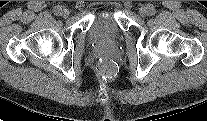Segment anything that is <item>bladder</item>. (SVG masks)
I'll return each instance as SVG.
<instances>
[{
    "label": "bladder",
    "mask_w": 207,
    "mask_h": 121,
    "mask_svg": "<svg viewBox=\"0 0 207 121\" xmlns=\"http://www.w3.org/2000/svg\"><path fill=\"white\" fill-rule=\"evenodd\" d=\"M94 41L112 42L121 35L117 17L114 13H103L96 16L89 30Z\"/></svg>",
    "instance_id": "bladder-1"
}]
</instances>
